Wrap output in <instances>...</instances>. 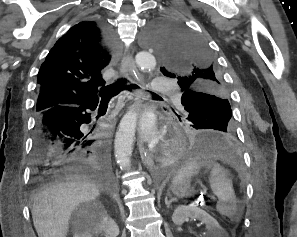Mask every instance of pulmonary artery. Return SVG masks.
I'll list each match as a JSON object with an SVG mask.
<instances>
[{
	"mask_svg": "<svg viewBox=\"0 0 297 237\" xmlns=\"http://www.w3.org/2000/svg\"><path fill=\"white\" fill-rule=\"evenodd\" d=\"M152 89L155 91H175V85L163 78H158L152 85Z\"/></svg>",
	"mask_w": 297,
	"mask_h": 237,
	"instance_id": "e3ab8cb5",
	"label": "pulmonary artery"
}]
</instances>
